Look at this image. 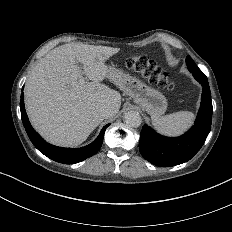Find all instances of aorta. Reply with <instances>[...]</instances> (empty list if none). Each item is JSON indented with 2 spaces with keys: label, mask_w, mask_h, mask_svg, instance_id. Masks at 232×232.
Listing matches in <instances>:
<instances>
[{
  "label": "aorta",
  "mask_w": 232,
  "mask_h": 232,
  "mask_svg": "<svg viewBox=\"0 0 232 232\" xmlns=\"http://www.w3.org/2000/svg\"><path fill=\"white\" fill-rule=\"evenodd\" d=\"M124 122L131 127H139L142 122V118L137 111L130 110L123 115Z\"/></svg>",
  "instance_id": "1"
}]
</instances>
